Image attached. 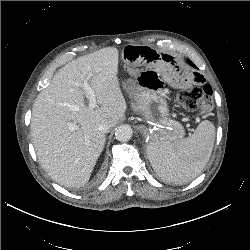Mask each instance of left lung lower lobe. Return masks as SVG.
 Masks as SVG:
<instances>
[{
	"mask_svg": "<svg viewBox=\"0 0 250 250\" xmlns=\"http://www.w3.org/2000/svg\"><path fill=\"white\" fill-rule=\"evenodd\" d=\"M188 62L191 64V65H193L194 66V64L190 61V60H188ZM195 67V66H194Z\"/></svg>",
	"mask_w": 250,
	"mask_h": 250,
	"instance_id": "0a47b994",
	"label": "left lung lower lobe"
}]
</instances>
